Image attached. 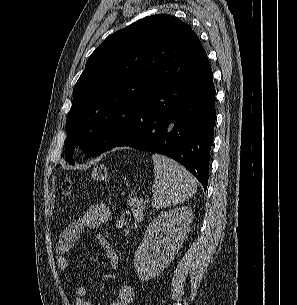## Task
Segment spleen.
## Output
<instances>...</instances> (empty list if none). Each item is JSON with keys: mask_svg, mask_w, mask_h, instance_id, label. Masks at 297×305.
Returning <instances> with one entry per match:
<instances>
[{"mask_svg": "<svg viewBox=\"0 0 297 305\" xmlns=\"http://www.w3.org/2000/svg\"><path fill=\"white\" fill-rule=\"evenodd\" d=\"M154 183L152 206L156 209L183 203L197 190L196 179L170 158L153 154Z\"/></svg>", "mask_w": 297, "mask_h": 305, "instance_id": "obj_1", "label": "spleen"}]
</instances>
